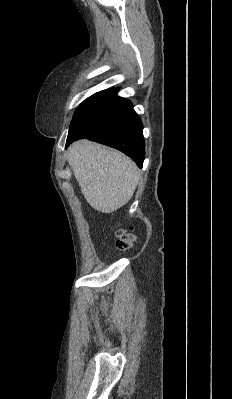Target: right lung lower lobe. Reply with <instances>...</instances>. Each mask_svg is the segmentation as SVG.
<instances>
[{"label": "right lung lower lobe", "instance_id": "right-lung-lower-lobe-1", "mask_svg": "<svg viewBox=\"0 0 232 399\" xmlns=\"http://www.w3.org/2000/svg\"><path fill=\"white\" fill-rule=\"evenodd\" d=\"M117 92L109 89L95 93L77 108L66 147L86 138L124 152L141 168L145 158L142 122L131 102L117 96Z\"/></svg>", "mask_w": 232, "mask_h": 399}]
</instances>
